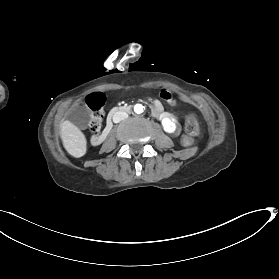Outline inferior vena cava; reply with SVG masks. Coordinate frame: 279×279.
Segmentation results:
<instances>
[{"mask_svg": "<svg viewBox=\"0 0 279 279\" xmlns=\"http://www.w3.org/2000/svg\"><path fill=\"white\" fill-rule=\"evenodd\" d=\"M128 117L127 113L125 111H118L114 113L113 115V121L114 123H119L121 120H124Z\"/></svg>", "mask_w": 279, "mask_h": 279, "instance_id": "602c4592", "label": "inferior vena cava"}]
</instances>
